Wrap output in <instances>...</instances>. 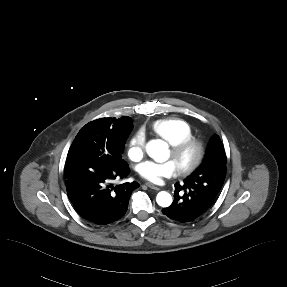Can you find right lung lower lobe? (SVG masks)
Here are the masks:
<instances>
[{
    "mask_svg": "<svg viewBox=\"0 0 287 287\" xmlns=\"http://www.w3.org/2000/svg\"><path fill=\"white\" fill-rule=\"evenodd\" d=\"M64 174L68 198L75 210L97 225L123 217L132 191L140 186L135 181L113 186L112 180L129 174L128 164L115 165L93 155L67 158Z\"/></svg>",
    "mask_w": 287,
    "mask_h": 287,
    "instance_id": "1",
    "label": "right lung lower lobe"
}]
</instances>
